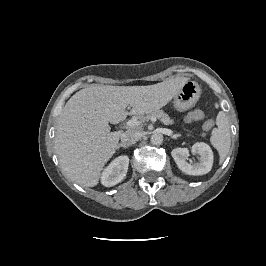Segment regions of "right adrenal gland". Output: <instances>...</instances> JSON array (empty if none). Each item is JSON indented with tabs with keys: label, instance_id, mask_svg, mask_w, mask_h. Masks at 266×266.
I'll list each match as a JSON object with an SVG mask.
<instances>
[{
	"label": "right adrenal gland",
	"instance_id": "1",
	"mask_svg": "<svg viewBox=\"0 0 266 266\" xmlns=\"http://www.w3.org/2000/svg\"><path fill=\"white\" fill-rule=\"evenodd\" d=\"M120 148L127 149L128 147L123 144H119L117 150H119Z\"/></svg>",
	"mask_w": 266,
	"mask_h": 266
}]
</instances>
